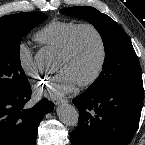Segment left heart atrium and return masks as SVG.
<instances>
[{"mask_svg": "<svg viewBox=\"0 0 145 145\" xmlns=\"http://www.w3.org/2000/svg\"><path fill=\"white\" fill-rule=\"evenodd\" d=\"M76 79L68 71H60L55 76L46 79L35 92L38 96L58 98L72 92L77 86Z\"/></svg>", "mask_w": 145, "mask_h": 145, "instance_id": "39dd6f15", "label": "left heart atrium"}]
</instances>
